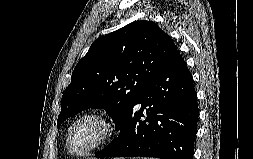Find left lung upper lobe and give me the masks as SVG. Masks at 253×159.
<instances>
[{
	"label": "left lung upper lobe",
	"mask_w": 253,
	"mask_h": 159,
	"mask_svg": "<svg viewBox=\"0 0 253 159\" xmlns=\"http://www.w3.org/2000/svg\"><path fill=\"white\" fill-rule=\"evenodd\" d=\"M178 52L152 21H135L97 39L78 62L61 99L57 127L88 108H105L120 129L147 84Z\"/></svg>",
	"instance_id": "obj_1"
}]
</instances>
